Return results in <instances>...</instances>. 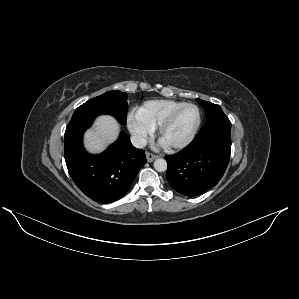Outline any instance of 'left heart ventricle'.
Returning a JSON list of instances; mask_svg holds the SVG:
<instances>
[{
  "mask_svg": "<svg viewBox=\"0 0 299 299\" xmlns=\"http://www.w3.org/2000/svg\"><path fill=\"white\" fill-rule=\"evenodd\" d=\"M198 119V112L194 107H186L175 117L166 128L162 140L166 144H174L186 139L194 129Z\"/></svg>",
  "mask_w": 299,
  "mask_h": 299,
  "instance_id": "1",
  "label": "left heart ventricle"
}]
</instances>
